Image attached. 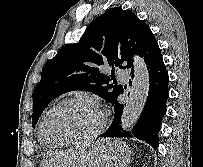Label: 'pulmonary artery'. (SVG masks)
<instances>
[{
  "label": "pulmonary artery",
  "instance_id": "1",
  "mask_svg": "<svg viewBox=\"0 0 203 167\" xmlns=\"http://www.w3.org/2000/svg\"><path fill=\"white\" fill-rule=\"evenodd\" d=\"M116 76L122 80V81H126L129 79V74L127 70H123V69H118L116 71Z\"/></svg>",
  "mask_w": 203,
  "mask_h": 167
}]
</instances>
